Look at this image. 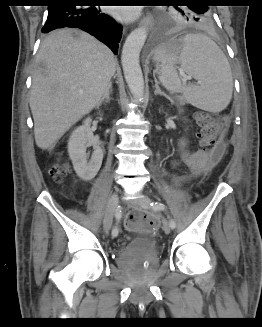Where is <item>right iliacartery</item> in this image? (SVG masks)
Returning a JSON list of instances; mask_svg holds the SVG:
<instances>
[{
    "label": "right iliac artery",
    "mask_w": 262,
    "mask_h": 327,
    "mask_svg": "<svg viewBox=\"0 0 262 327\" xmlns=\"http://www.w3.org/2000/svg\"><path fill=\"white\" fill-rule=\"evenodd\" d=\"M115 218L117 221L121 219V213L119 211H116ZM118 235V228L115 226L112 230V236L116 237Z\"/></svg>",
    "instance_id": "right-iliac-artery-1"
}]
</instances>
